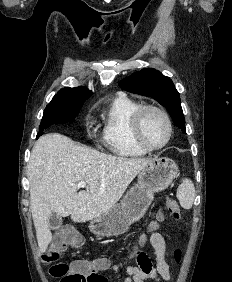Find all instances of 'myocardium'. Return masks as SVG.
<instances>
[{
  "instance_id": "f54148a6",
  "label": "myocardium",
  "mask_w": 232,
  "mask_h": 282,
  "mask_svg": "<svg viewBox=\"0 0 232 282\" xmlns=\"http://www.w3.org/2000/svg\"><path fill=\"white\" fill-rule=\"evenodd\" d=\"M149 111H153L160 114L164 118L168 128L167 138L162 144L157 146H153L147 143L142 135V130H141L142 120L145 113ZM130 126H131L132 137L135 143L146 151H157L166 147L170 143L174 132L173 123L168 113L164 109L151 104L140 105L135 110V112L131 117Z\"/></svg>"
}]
</instances>
